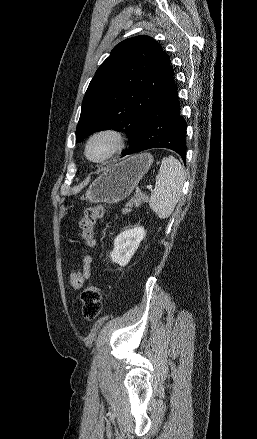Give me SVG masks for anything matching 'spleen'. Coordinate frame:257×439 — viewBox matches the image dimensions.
<instances>
[{
  "instance_id": "1",
  "label": "spleen",
  "mask_w": 257,
  "mask_h": 439,
  "mask_svg": "<svg viewBox=\"0 0 257 439\" xmlns=\"http://www.w3.org/2000/svg\"><path fill=\"white\" fill-rule=\"evenodd\" d=\"M183 183L184 171L179 161L173 156L164 157L149 200L151 210L160 219L170 217L174 211Z\"/></svg>"
}]
</instances>
